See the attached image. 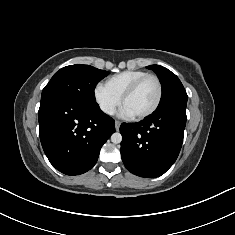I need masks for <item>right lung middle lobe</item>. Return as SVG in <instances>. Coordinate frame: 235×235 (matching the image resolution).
<instances>
[{"instance_id": "right-lung-middle-lobe-1", "label": "right lung middle lobe", "mask_w": 235, "mask_h": 235, "mask_svg": "<svg viewBox=\"0 0 235 235\" xmlns=\"http://www.w3.org/2000/svg\"><path fill=\"white\" fill-rule=\"evenodd\" d=\"M109 74L93 66L75 64L61 68L42 91L41 102L50 99H69L95 103L96 84Z\"/></svg>"}]
</instances>
